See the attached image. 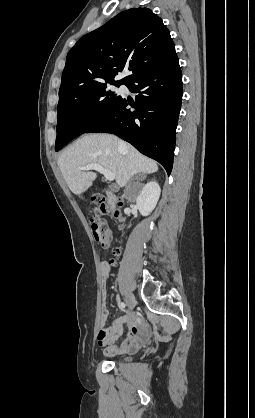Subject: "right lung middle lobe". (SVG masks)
Listing matches in <instances>:
<instances>
[{"instance_id":"1","label":"right lung middle lobe","mask_w":255,"mask_h":418,"mask_svg":"<svg viewBox=\"0 0 255 418\" xmlns=\"http://www.w3.org/2000/svg\"><path fill=\"white\" fill-rule=\"evenodd\" d=\"M109 84L123 83H97L59 94L56 151L110 114L121 96Z\"/></svg>"}]
</instances>
